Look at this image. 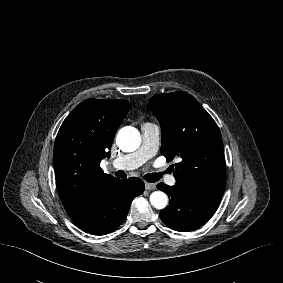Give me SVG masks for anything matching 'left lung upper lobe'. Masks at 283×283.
I'll return each instance as SVG.
<instances>
[{"label":"left lung upper lobe","instance_id":"obj_1","mask_svg":"<svg viewBox=\"0 0 283 283\" xmlns=\"http://www.w3.org/2000/svg\"><path fill=\"white\" fill-rule=\"evenodd\" d=\"M148 106L161 124L162 154L167 161L181 159L173 168L176 181L220 200L226 169L221 133L213 118L183 91L155 95Z\"/></svg>","mask_w":283,"mask_h":283}]
</instances>
